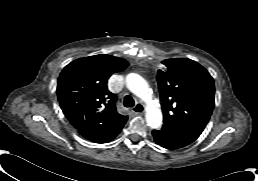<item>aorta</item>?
Wrapping results in <instances>:
<instances>
[{
  "label": "aorta",
  "mask_w": 258,
  "mask_h": 181,
  "mask_svg": "<svg viewBox=\"0 0 258 181\" xmlns=\"http://www.w3.org/2000/svg\"><path fill=\"white\" fill-rule=\"evenodd\" d=\"M126 87L146 103V123L152 129L160 128L162 125V112L154 105L152 100V91L146 80L136 73H130L126 76Z\"/></svg>",
  "instance_id": "aorta-1"
}]
</instances>
